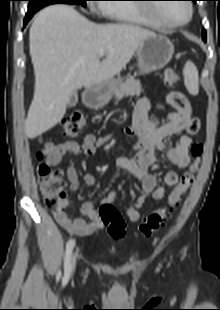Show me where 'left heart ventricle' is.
Returning <instances> with one entry per match:
<instances>
[{
  "instance_id": "b2bd125f",
  "label": "left heart ventricle",
  "mask_w": 220,
  "mask_h": 310,
  "mask_svg": "<svg viewBox=\"0 0 220 310\" xmlns=\"http://www.w3.org/2000/svg\"><path fill=\"white\" fill-rule=\"evenodd\" d=\"M156 14L168 21L178 22L188 16V9L184 3L163 4L156 8Z\"/></svg>"
}]
</instances>
